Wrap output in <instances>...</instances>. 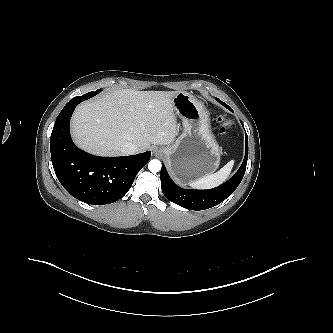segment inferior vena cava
<instances>
[{
	"mask_svg": "<svg viewBox=\"0 0 333 333\" xmlns=\"http://www.w3.org/2000/svg\"><path fill=\"white\" fill-rule=\"evenodd\" d=\"M120 151L123 155H133L136 154L139 149L134 143H125L121 146Z\"/></svg>",
	"mask_w": 333,
	"mask_h": 333,
	"instance_id": "602c4592",
	"label": "inferior vena cava"
}]
</instances>
